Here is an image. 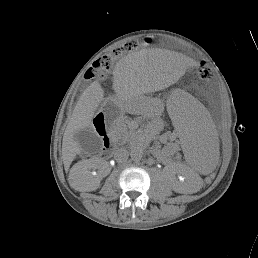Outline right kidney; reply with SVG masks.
<instances>
[{
  "label": "right kidney",
  "mask_w": 258,
  "mask_h": 258,
  "mask_svg": "<svg viewBox=\"0 0 258 258\" xmlns=\"http://www.w3.org/2000/svg\"><path fill=\"white\" fill-rule=\"evenodd\" d=\"M104 165H105V162H104V161H102L101 159H96V160L94 161V164L92 165V167H93L94 169H101L102 166H104ZM83 171H84L85 174L90 175V173L87 171V169H84ZM77 174H78V171L75 170V171L73 172V175L77 176ZM98 187H99V182H96L95 184H93V185L90 187L89 191H90V190H96Z\"/></svg>",
  "instance_id": "obj_1"
}]
</instances>
